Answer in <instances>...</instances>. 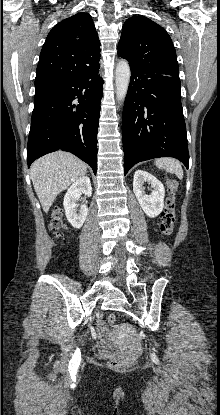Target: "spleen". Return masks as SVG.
Instances as JSON below:
<instances>
[{"label": "spleen", "mask_w": 220, "mask_h": 415, "mask_svg": "<svg viewBox=\"0 0 220 415\" xmlns=\"http://www.w3.org/2000/svg\"><path fill=\"white\" fill-rule=\"evenodd\" d=\"M159 169H164L169 173L175 174L179 179L183 178V169L179 161L172 158H160L155 161Z\"/></svg>", "instance_id": "spleen-1"}]
</instances>
